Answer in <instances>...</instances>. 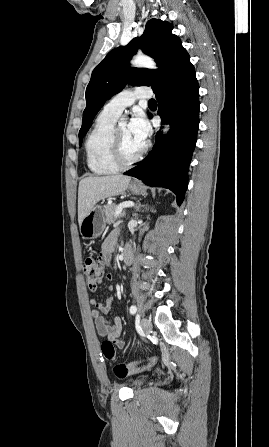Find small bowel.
<instances>
[{"instance_id": "1", "label": "small bowel", "mask_w": 269, "mask_h": 447, "mask_svg": "<svg viewBox=\"0 0 269 447\" xmlns=\"http://www.w3.org/2000/svg\"><path fill=\"white\" fill-rule=\"evenodd\" d=\"M117 239V233L112 232L105 242L103 243V251L105 253H110L113 250ZM91 305L95 309L91 312V316L95 319L96 329L101 337H105L110 341H113L118 348H124L125 342L120 339V334L122 332V322L119 317H114L113 321H109L103 315L109 313L111 305L113 303V298H108L105 303H100L96 298L90 299Z\"/></svg>"}]
</instances>
